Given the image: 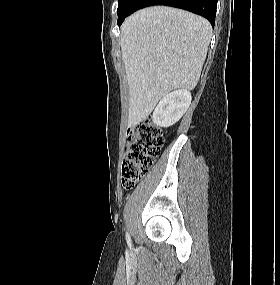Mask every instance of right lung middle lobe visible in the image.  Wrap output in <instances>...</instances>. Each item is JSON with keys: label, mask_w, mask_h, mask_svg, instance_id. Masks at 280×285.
Here are the masks:
<instances>
[{"label": "right lung middle lobe", "mask_w": 280, "mask_h": 285, "mask_svg": "<svg viewBox=\"0 0 280 285\" xmlns=\"http://www.w3.org/2000/svg\"><path fill=\"white\" fill-rule=\"evenodd\" d=\"M137 0H119L118 1V21L125 19L128 15L131 14Z\"/></svg>", "instance_id": "1"}]
</instances>
